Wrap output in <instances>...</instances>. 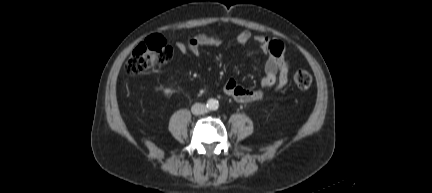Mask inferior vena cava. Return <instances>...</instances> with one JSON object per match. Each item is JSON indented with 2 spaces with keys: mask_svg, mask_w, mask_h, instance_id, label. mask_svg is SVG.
Here are the masks:
<instances>
[{
  "mask_svg": "<svg viewBox=\"0 0 432 193\" xmlns=\"http://www.w3.org/2000/svg\"><path fill=\"white\" fill-rule=\"evenodd\" d=\"M191 111L194 115H201L207 112V108L204 104L202 103H195L192 108Z\"/></svg>",
  "mask_w": 432,
  "mask_h": 193,
  "instance_id": "1",
  "label": "inferior vena cava"
}]
</instances>
